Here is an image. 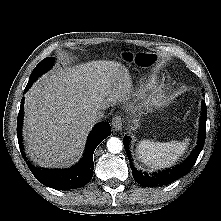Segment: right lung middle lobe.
Returning <instances> with one entry per match:
<instances>
[{
  "label": "right lung middle lobe",
  "mask_w": 221,
  "mask_h": 221,
  "mask_svg": "<svg viewBox=\"0 0 221 221\" xmlns=\"http://www.w3.org/2000/svg\"><path fill=\"white\" fill-rule=\"evenodd\" d=\"M53 61L54 60L52 58H45L44 60H42L32 71L28 81V85L33 84L39 76L46 72L52 66Z\"/></svg>",
  "instance_id": "1"
}]
</instances>
